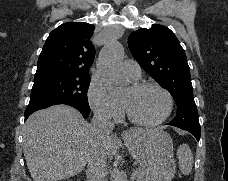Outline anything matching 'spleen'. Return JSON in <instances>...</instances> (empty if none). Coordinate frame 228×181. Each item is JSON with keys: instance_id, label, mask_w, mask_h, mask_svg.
Returning <instances> with one entry per match:
<instances>
[{"instance_id": "spleen-1", "label": "spleen", "mask_w": 228, "mask_h": 181, "mask_svg": "<svg viewBox=\"0 0 228 181\" xmlns=\"http://www.w3.org/2000/svg\"><path fill=\"white\" fill-rule=\"evenodd\" d=\"M177 159H179V169L182 175H189L192 171L194 159L188 145H180L177 151Z\"/></svg>"}]
</instances>
